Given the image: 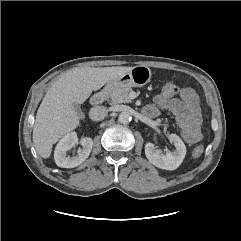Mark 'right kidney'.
Wrapping results in <instances>:
<instances>
[{"label": "right kidney", "instance_id": "ca27d5eb", "mask_svg": "<svg viewBox=\"0 0 241 241\" xmlns=\"http://www.w3.org/2000/svg\"><path fill=\"white\" fill-rule=\"evenodd\" d=\"M78 143L77 134L70 132L66 134L57 144L54 151L55 163L62 168H74L83 163L89 156L93 140L89 137H84L80 140L83 149L74 157L67 156V151Z\"/></svg>", "mask_w": 241, "mask_h": 241}]
</instances>
